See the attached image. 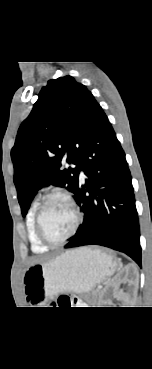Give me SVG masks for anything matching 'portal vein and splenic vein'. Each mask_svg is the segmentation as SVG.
<instances>
[{
    "instance_id": "obj_1",
    "label": "portal vein and splenic vein",
    "mask_w": 152,
    "mask_h": 369,
    "mask_svg": "<svg viewBox=\"0 0 152 369\" xmlns=\"http://www.w3.org/2000/svg\"><path fill=\"white\" fill-rule=\"evenodd\" d=\"M102 287L101 286H98V289H101Z\"/></svg>"
}]
</instances>
